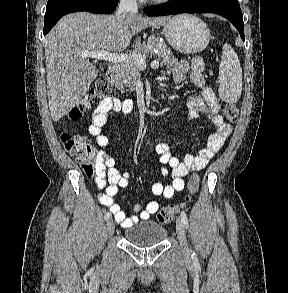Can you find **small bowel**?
I'll return each instance as SVG.
<instances>
[{
	"instance_id": "small-bowel-1",
	"label": "small bowel",
	"mask_w": 288,
	"mask_h": 293,
	"mask_svg": "<svg viewBox=\"0 0 288 293\" xmlns=\"http://www.w3.org/2000/svg\"><path fill=\"white\" fill-rule=\"evenodd\" d=\"M202 69L203 62L200 58H195L191 64L185 60H180L173 68L172 76L176 83H182L185 80L186 74L191 71L190 80L200 89L201 95L188 97V117L193 119L204 114L209 118L216 130L210 135L205 148L201 149L197 155H187L183 161L171 154L166 143H158L156 145L155 151L159 156L160 163L170 168V170L166 167L163 168L161 171L162 175L164 177L170 176L172 181L168 184L161 182L153 183L151 186L153 195L170 199L175 192L182 191L185 186L183 177L191 171L203 169L220 150L232 131L231 125L220 114L219 101L213 89L207 85ZM132 107L133 103L130 99L120 100L118 98H107L97 106L92 113L88 131L95 137L96 143L100 147L105 148L109 145V138L105 134L108 117L119 112L129 114ZM95 172L97 188L100 190L104 189V192L98 195V200L103 206L108 208L114 215L115 221L122 227H131L140 219L147 220L158 211V202L150 201L145 206L141 204L135 205L134 209L139 212V216H126L120 205L114 201V196L120 189L128 185L129 174L126 171H119L116 167L115 158L103 150L97 153Z\"/></svg>"
}]
</instances>
